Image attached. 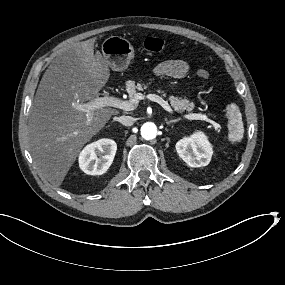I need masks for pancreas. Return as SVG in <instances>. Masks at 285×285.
<instances>
[{
  "label": "pancreas",
  "mask_w": 285,
  "mask_h": 285,
  "mask_svg": "<svg viewBox=\"0 0 285 285\" xmlns=\"http://www.w3.org/2000/svg\"><path fill=\"white\" fill-rule=\"evenodd\" d=\"M145 90L150 91L153 88L152 83L147 82L144 85ZM124 90L128 91L127 95L130 98L135 97L137 92H141L142 91V86L138 83V82H133L131 80L126 81L125 85H124ZM158 95L163 96L166 93L165 88L160 87L157 90ZM170 100V104L171 106L174 108L175 111L182 113L184 111L187 112H191L194 107L195 104L193 102H190L188 99L186 98H177L174 96H171L169 98Z\"/></svg>",
  "instance_id": "pancreas-1"
}]
</instances>
